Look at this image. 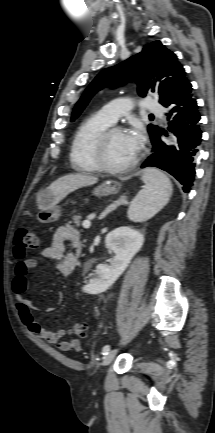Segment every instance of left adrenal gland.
Returning a JSON list of instances; mask_svg holds the SVG:
<instances>
[{
    "label": "left adrenal gland",
    "instance_id": "1",
    "mask_svg": "<svg viewBox=\"0 0 215 433\" xmlns=\"http://www.w3.org/2000/svg\"><path fill=\"white\" fill-rule=\"evenodd\" d=\"M127 204V198L126 196H121L117 201H115L113 204L109 205L100 215L99 219L105 218L110 212L114 211L116 208H118L121 205Z\"/></svg>",
    "mask_w": 215,
    "mask_h": 433
}]
</instances>
